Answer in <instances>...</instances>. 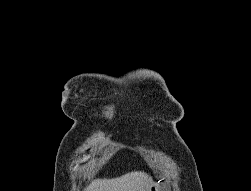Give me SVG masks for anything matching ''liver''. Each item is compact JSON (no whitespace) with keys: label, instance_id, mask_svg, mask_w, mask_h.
Segmentation results:
<instances>
[{"label":"liver","instance_id":"obj_1","mask_svg":"<svg viewBox=\"0 0 251 191\" xmlns=\"http://www.w3.org/2000/svg\"><path fill=\"white\" fill-rule=\"evenodd\" d=\"M152 177L144 171H130L113 179H94L84 191H150Z\"/></svg>","mask_w":251,"mask_h":191}]
</instances>
